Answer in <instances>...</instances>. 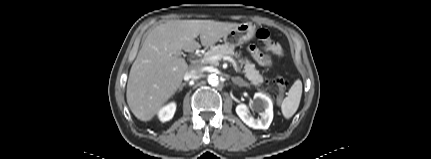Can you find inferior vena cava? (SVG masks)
Listing matches in <instances>:
<instances>
[{"instance_id": "1", "label": "inferior vena cava", "mask_w": 431, "mask_h": 159, "mask_svg": "<svg viewBox=\"0 0 431 159\" xmlns=\"http://www.w3.org/2000/svg\"><path fill=\"white\" fill-rule=\"evenodd\" d=\"M201 74V68L197 66H193L190 68V70L185 74L184 79H195Z\"/></svg>"}]
</instances>
